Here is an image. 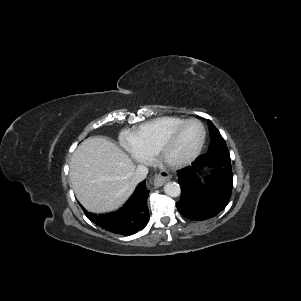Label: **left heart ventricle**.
<instances>
[{
	"mask_svg": "<svg viewBox=\"0 0 301 301\" xmlns=\"http://www.w3.org/2000/svg\"><path fill=\"white\" fill-rule=\"evenodd\" d=\"M202 136L201 126L196 122L185 125L169 148L171 159L180 160L189 156L197 147Z\"/></svg>",
	"mask_w": 301,
	"mask_h": 301,
	"instance_id": "1",
	"label": "left heart ventricle"
}]
</instances>
